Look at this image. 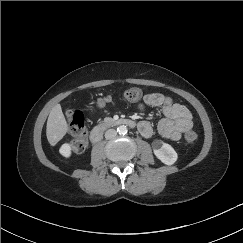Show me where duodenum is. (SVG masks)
I'll list each match as a JSON object with an SVG mask.
<instances>
[{"mask_svg":"<svg viewBox=\"0 0 243 243\" xmlns=\"http://www.w3.org/2000/svg\"><path fill=\"white\" fill-rule=\"evenodd\" d=\"M117 125L128 126L131 128L137 127V124L135 123V121H133L131 119H113L100 126L93 128L90 132V140L93 143H97L98 141L101 140L103 132L107 126H117Z\"/></svg>","mask_w":243,"mask_h":243,"instance_id":"duodenum-1","label":"duodenum"}]
</instances>
